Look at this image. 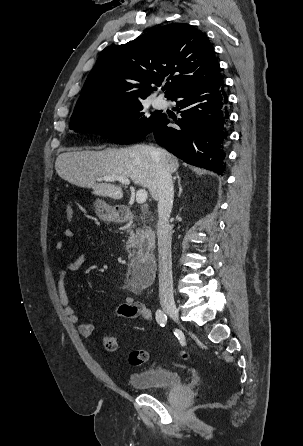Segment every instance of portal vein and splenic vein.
Segmentation results:
<instances>
[{
	"label": "portal vein and splenic vein",
	"mask_w": 303,
	"mask_h": 446,
	"mask_svg": "<svg viewBox=\"0 0 303 446\" xmlns=\"http://www.w3.org/2000/svg\"><path fill=\"white\" fill-rule=\"evenodd\" d=\"M100 180H104V181H115V180H118L122 184H125V185H129L130 184V180L127 177H123V176H115V175L103 176V177L100 178ZM147 198H148V194H147V191L145 189H140V190L137 191V193H136V201H137L138 204L145 203Z\"/></svg>",
	"instance_id": "portal-vein-and-splenic-vein-1"
}]
</instances>
